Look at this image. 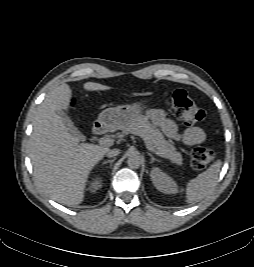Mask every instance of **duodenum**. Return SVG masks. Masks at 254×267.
Segmentation results:
<instances>
[{"label":"duodenum","mask_w":254,"mask_h":267,"mask_svg":"<svg viewBox=\"0 0 254 267\" xmlns=\"http://www.w3.org/2000/svg\"><path fill=\"white\" fill-rule=\"evenodd\" d=\"M105 131H106V127L102 123H96L93 127V133L95 135H102L105 133Z\"/></svg>","instance_id":"obj_1"}]
</instances>
